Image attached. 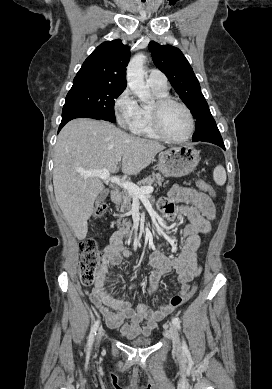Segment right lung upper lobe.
<instances>
[{"label": "right lung upper lobe", "instance_id": "obj_1", "mask_svg": "<svg viewBox=\"0 0 272 389\" xmlns=\"http://www.w3.org/2000/svg\"><path fill=\"white\" fill-rule=\"evenodd\" d=\"M130 50L120 39L100 44L85 60L73 84L92 83L126 88Z\"/></svg>", "mask_w": 272, "mask_h": 389}]
</instances>
